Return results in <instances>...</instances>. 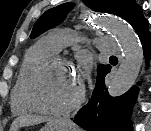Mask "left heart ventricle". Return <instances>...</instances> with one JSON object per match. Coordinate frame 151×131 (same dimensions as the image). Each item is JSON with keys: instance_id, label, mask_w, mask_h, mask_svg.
<instances>
[{"instance_id": "1", "label": "left heart ventricle", "mask_w": 151, "mask_h": 131, "mask_svg": "<svg viewBox=\"0 0 151 131\" xmlns=\"http://www.w3.org/2000/svg\"><path fill=\"white\" fill-rule=\"evenodd\" d=\"M81 81L75 71L64 65H55L36 81V94L49 107H60L71 101L80 89Z\"/></svg>"}]
</instances>
